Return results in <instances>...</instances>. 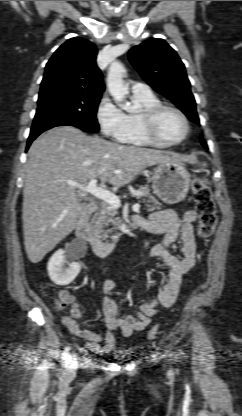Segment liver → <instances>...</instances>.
Masks as SVG:
<instances>
[{
	"label": "liver",
	"instance_id": "6515ba94",
	"mask_svg": "<svg viewBox=\"0 0 242 416\" xmlns=\"http://www.w3.org/2000/svg\"><path fill=\"white\" fill-rule=\"evenodd\" d=\"M177 162L160 151L124 146L78 128L60 126L30 146L23 190V231L28 259L40 262L76 227L85 210L77 187L98 178L101 185L122 187L145 168Z\"/></svg>",
	"mask_w": 242,
	"mask_h": 416
}]
</instances>
